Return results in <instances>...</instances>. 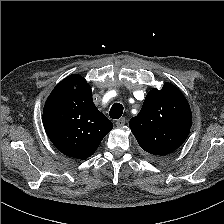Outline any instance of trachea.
I'll list each match as a JSON object with an SVG mask.
<instances>
[{
	"mask_svg": "<svg viewBox=\"0 0 224 224\" xmlns=\"http://www.w3.org/2000/svg\"><path fill=\"white\" fill-rule=\"evenodd\" d=\"M123 114V106L120 103L112 105L109 115L112 119H119Z\"/></svg>",
	"mask_w": 224,
	"mask_h": 224,
	"instance_id": "obj_1",
	"label": "trachea"
}]
</instances>
